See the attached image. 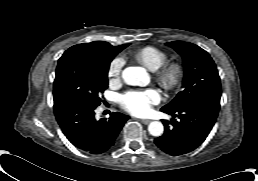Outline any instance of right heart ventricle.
<instances>
[{
    "label": "right heart ventricle",
    "instance_id": "right-heart-ventricle-1",
    "mask_svg": "<svg viewBox=\"0 0 258 181\" xmlns=\"http://www.w3.org/2000/svg\"><path fill=\"white\" fill-rule=\"evenodd\" d=\"M134 57L147 69L155 71L166 62L167 53L154 46H145L138 50Z\"/></svg>",
    "mask_w": 258,
    "mask_h": 181
}]
</instances>
